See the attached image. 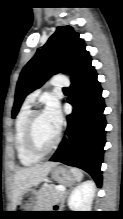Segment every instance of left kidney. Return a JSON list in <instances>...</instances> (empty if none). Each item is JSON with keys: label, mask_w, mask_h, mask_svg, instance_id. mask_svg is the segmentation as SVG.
<instances>
[{"label": "left kidney", "mask_w": 123, "mask_h": 219, "mask_svg": "<svg viewBox=\"0 0 123 219\" xmlns=\"http://www.w3.org/2000/svg\"><path fill=\"white\" fill-rule=\"evenodd\" d=\"M96 185L94 181L82 182L71 192L68 206L72 211H90L95 196Z\"/></svg>", "instance_id": "left-kidney-1"}]
</instances>
